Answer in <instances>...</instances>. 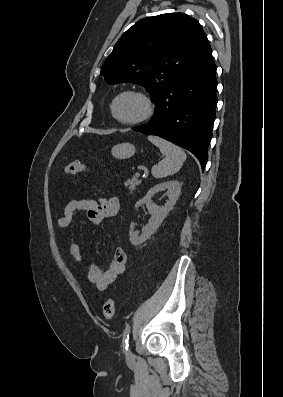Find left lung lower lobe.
I'll use <instances>...</instances> for the list:
<instances>
[{
    "label": "left lung lower lobe",
    "mask_w": 283,
    "mask_h": 397,
    "mask_svg": "<svg viewBox=\"0 0 283 397\" xmlns=\"http://www.w3.org/2000/svg\"><path fill=\"white\" fill-rule=\"evenodd\" d=\"M216 65L212 50L187 68L163 94L155 115L133 130L157 135L193 153L202 169L216 118Z\"/></svg>",
    "instance_id": "obj_1"
}]
</instances>
